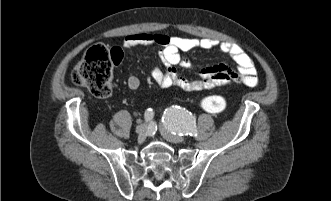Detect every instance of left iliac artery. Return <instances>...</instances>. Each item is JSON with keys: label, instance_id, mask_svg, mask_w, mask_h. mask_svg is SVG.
<instances>
[{"label": "left iliac artery", "instance_id": "44dca946", "mask_svg": "<svg viewBox=\"0 0 331 201\" xmlns=\"http://www.w3.org/2000/svg\"><path fill=\"white\" fill-rule=\"evenodd\" d=\"M165 128L173 134L190 135L196 137L198 135L195 119L191 112L180 106H172L164 111L162 117Z\"/></svg>", "mask_w": 331, "mask_h": 201}]
</instances>
